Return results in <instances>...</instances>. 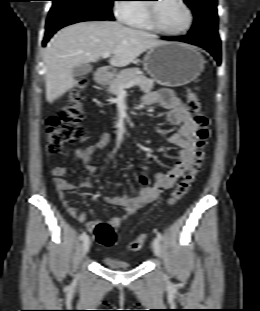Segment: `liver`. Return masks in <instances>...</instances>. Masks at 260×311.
<instances>
[{
    "label": "liver",
    "instance_id": "obj_1",
    "mask_svg": "<svg viewBox=\"0 0 260 311\" xmlns=\"http://www.w3.org/2000/svg\"><path fill=\"white\" fill-rule=\"evenodd\" d=\"M165 43L150 33L114 21L67 26L45 49L46 100L53 103L77 84L73 69L80 64L97 62L104 53H110L111 66L125 67L143 52Z\"/></svg>",
    "mask_w": 260,
    "mask_h": 311
}]
</instances>
